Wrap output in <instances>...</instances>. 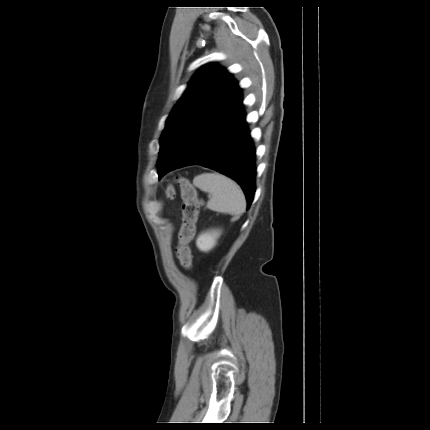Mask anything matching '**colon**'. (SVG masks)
I'll return each mask as SVG.
<instances>
[{
	"instance_id": "obj_1",
	"label": "colon",
	"mask_w": 430,
	"mask_h": 430,
	"mask_svg": "<svg viewBox=\"0 0 430 430\" xmlns=\"http://www.w3.org/2000/svg\"><path fill=\"white\" fill-rule=\"evenodd\" d=\"M174 183L179 186L182 199V225L179 232L177 255L183 268L186 271H191L193 268V256L190 244L195 234L200 205L197 191L187 178L177 176ZM166 193L169 199L174 198L175 189L172 184L167 187Z\"/></svg>"
}]
</instances>
